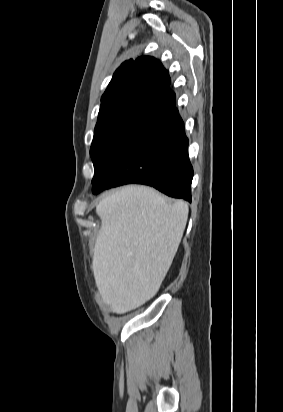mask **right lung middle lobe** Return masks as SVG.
<instances>
[{
  "mask_svg": "<svg viewBox=\"0 0 283 412\" xmlns=\"http://www.w3.org/2000/svg\"><path fill=\"white\" fill-rule=\"evenodd\" d=\"M162 112L121 114L98 120L90 155L95 174L92 183L103 176L143 132L163 117Z\"/></svg>",
  "mask_w": 283,
  "mask_h": 412,
  "instance_id": "right-lung-middle-lobe-1",
  "label": "right lung middle lobe"
}]
</instances>
